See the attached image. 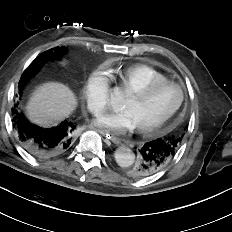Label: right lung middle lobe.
Wrapping results in <instances>:
<instances>
[{
	"instance_id": "1",
	"label": "right lung middle lobe",
	"mask_w": 232,
	"mask_h": 232,
	"mask_svg": "<svg viewBox=\"0 0 232 232\" xmlns=\"http://www.w3.org/2000/svg\"><path fill=\"white\" fill-rule=\"evenodd\" d=\"M52 57L55 56L53 55L52 51L49 50L40 54L22 74L19 83V88L25 86L30 81V79L40 70L42 63L49 60Z\"/></svg>"
}]
</instances>
